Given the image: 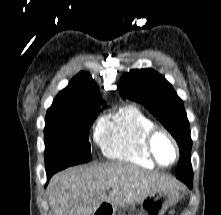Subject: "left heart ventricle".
<instances>
[{"instance_id": "1", "label": "left heart ventricle", "mask_w": 221, "mask_h": 215, "mask_svg": "<svg viewBox=\"0 0 221 215\" xmlns=\"http://www.w3.org/2000/svg\"><path fill=\"white\" fill-rule=\"evenodd\" d=\"M155 148L159 159L163 163H170L174 153L170 142L163 136H159L155 143Z\"/></svg>"}]
</instances>
